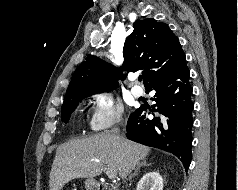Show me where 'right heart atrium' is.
Here are the masks:
<instances>
[{
	"label": "right heart atrium",
	"instance_id": "right-heart-atrium-1",
	"mask_svg": "<svg viewBox=\"0 0 238 190\" xmlns=\"http://www.w3.org/2000/svg\"><path fill=\"white\" fill-rule=\"evenodd\" d=\"M123 106L106 92H97L90 100V128L100 132L123 120Z\"/></svg>",
	"mask_w": 238,
	"mask_h": 190
}]
</instances>
